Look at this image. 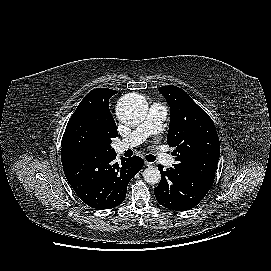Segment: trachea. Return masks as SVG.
<instances>
[{
	"label": "trachea",
	"instance_id": "trachea-1",
	"mask_svg": "<svg viewBox=\"0 0 271 271\" xmlns=\"http://www.w3.org/2000/svg\"><path fill=\"white\" fill-rule=\"evenodd\" d=\"M146 160L149 161V162H153L156 160V156L154 155H147L146 156Z\"/></svg>",
	"mask_w": 271,
	"mask_h": 271
}]
</instances>
